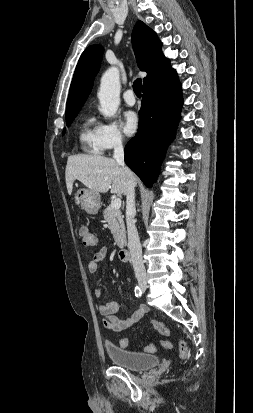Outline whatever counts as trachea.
I'll list each match as a JSON object with an SVG mask.
<instances>
[{"instance_id": "obj_1", "label": "trachea", "mask_w": 253, "mask_h": 413, "mask_svg": "<svg viewBox=\"0 0 253 413\" xmlns=\"http://www.w3.org/2000/svg\"><path fill=\"white\" fill-rule=\"evenodd\" d=\"M142 80L136 79L133 83V90L137 97H141Z\"/></svg>"}]
</instances>
